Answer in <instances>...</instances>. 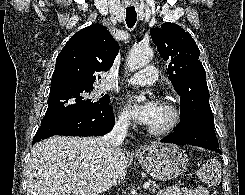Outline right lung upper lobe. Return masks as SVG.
<instances>
[{"mask_svg": "<svg viewBox=\"0 0 245 195\" xmlns=\"http://www.w3.org/2000/svg\"><path fill=\"white\" fill-rule=\"evenodd\" d=\"M118 52V43L103 25L92 24L78 31L57 56L50 93L93 86L97 72L108 71Z\"/></svg>", "mask_w": 245, "mask_h": 195, "instance_id": "1", "label": "right lung upper lobe"}]
</instances>
